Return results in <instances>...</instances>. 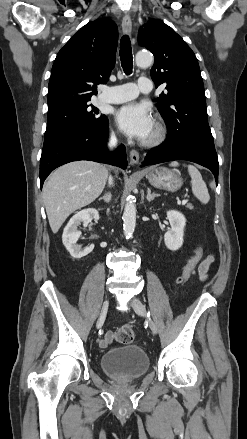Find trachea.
Segmentation results:
<instances>
[{"mask_svg": "<svg viewBox=\"0 0 247 439\" xmlns=\"http://www.w3.org/2000/svg\"><path fill=\"white\" fill-rule=\"evenodd\" d=\"M120 60L124 73L130 75L133 68V57L131 42L127 35H124L120 41Z\"/></svg>", "mask_w": 247, "mask_h": 439, "instance_id": "obj_1", "label": "trachea"}]
</instances>
